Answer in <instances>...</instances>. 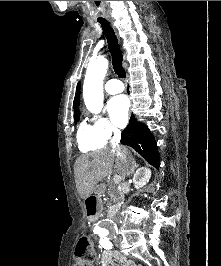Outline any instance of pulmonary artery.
Instances as JSON below:
<instances>
[{
  "label": "pulmonary artery",
  "instance_id": "obj_1",
  "mask_svg": "<svg viewBox=\"0 0 221 266\" xmlns=\"http://www.w3.org/2000/svg\"><path fill=\"white\" fill-rule=\"evenodd\" d=\"M105 90L109 94H117L124 90V85L118 79H110L105 84Z\"/></svg>",
  "mask_w": 221,
  "mask_h": 266
}]
</instances>
